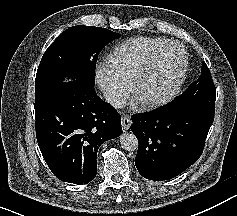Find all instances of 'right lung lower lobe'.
Wrapping results in <instances>:
<instances>
[{"label":"right lung lower lobe","mask_w":237,"mask_h":216,"mask_svg":"<svg viewBox=\"0 0 237 216\" xmlns=\"http://www.w3.org/2000/svg\"><path fill=\"white\" fill-rule=\"evenodd\" d=\"M34 108L37 142L52 173L78 185L92 181L99 146L122 134L120 115L82 82L57 89Z\"/></svg>","instance_id":"98d812e1"}]
</instances>
